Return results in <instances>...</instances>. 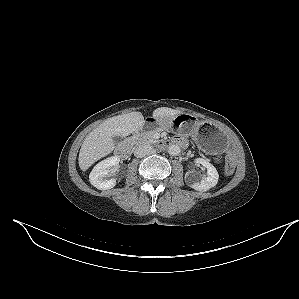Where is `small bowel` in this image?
<instances>
[{
    "instance_id": "obj_1",
    "label": "small bowel",
    "mask_w": 299,
    "mask_h": 299,
    "mask_svg": "<svg viewBox=\"0 0 299 299\" xmlns=\"http://www.w3.org/2000/svg\"><path fill=\"white\" fill-rule=\"evenodd\" d=\"M178 139H180V138H178ZM183 140V139H182ZM184 142H185V140H183ZM185 144H186V142L184 143V145L183 146H185Z\"/></svg>"
}]
</instances>
